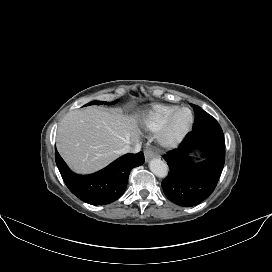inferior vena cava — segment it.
Listing matches in <instances>:
<instances>
[{
  "instance_id": "inferior-vena-cava-1",
  "label": "inferior vena cava",
  "mask_w": 272,
  "mask_h": 272,
  "mask_svg": "<svg viewBox=\"0 0 272 272\" xmlns=\"http://www.w3.org/2000/svg\"><path fill=\"white\" fill-rule=\"evenodd\" d=\"M141 149V145L137 142L134 144V147H131L129 144H126L119 150V154H126V153H137Z\"/></svg>"
}]
</instances>
